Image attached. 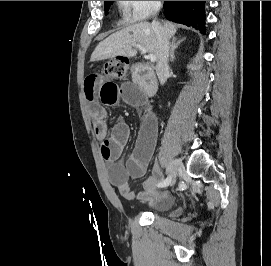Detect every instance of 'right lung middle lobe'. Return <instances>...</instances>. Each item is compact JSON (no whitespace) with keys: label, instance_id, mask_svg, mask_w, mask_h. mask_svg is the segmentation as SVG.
<instances>
[{"label":"right lung middle lobe","instance_id":"1","mask_svg":"<svg viewBox=\"0 0 271 266\" xmlns=\"http://www.w3.org/2000/svg\"><path fill=\"white\" fill-rule=\"evenodd\" d=\"M112 1H104L105 13L109 10Z\"/></svg>","mask_w":271,"mask_h":266}]
</instances>
